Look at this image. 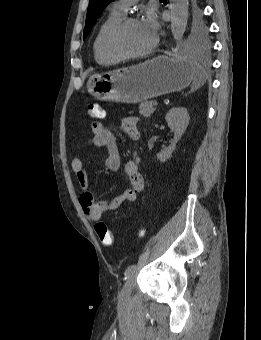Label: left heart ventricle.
Segmentation results:
<instances>
[{"mask_svg":"<svg viewBox=\"0 0 261 340\" xmlns=\"http://www.w3.org/2000/svg\"><path fill=\"white\" fill-rule=\"evenodd\" d=\"M153 38L154 35L150 34L141 22H136L128 25L121 32L117 40V46L127 53H134L147 48Z\"/></svg>","mask_w":261,"mask_h":340,"instance_id":"1","label":"left heart ventricle"}]
</instances>
